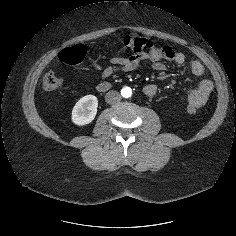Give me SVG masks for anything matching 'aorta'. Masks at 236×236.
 Instances as JSON below:
<instances>
[{
    "mask_svg": "<svg viewBox=\"0 0 236 236\" xmlns=\"http://www.w3.org/2000/svg\"><path fill=\"white\" fill-rule=\"evenodd\" d=\"M121 95L124 97V98H129L131 97L132 95V89L130 87H124L122 88L121 90Z\"/></svg>",
    "mask_w": 236,
    "mask_h": 236,
    "instance_id": "aorta-1",
    "label": "aorta"
}]
</instances>
